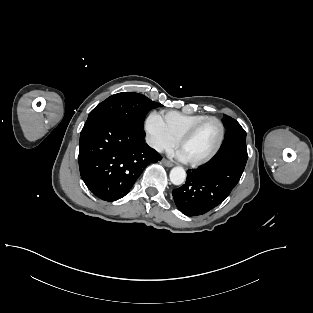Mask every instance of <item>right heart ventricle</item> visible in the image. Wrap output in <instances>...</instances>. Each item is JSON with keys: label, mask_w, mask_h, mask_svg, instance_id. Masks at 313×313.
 <instances>
[{"label": "right heart ventricle", "mask_w": 313, "mask_h": 313, "mask_svg": "<svg viewBox=\"0 0 313 313\" xmlns=\"http://www.w3.org/2000/svg\"><path fill=\"white\" fill-rule=\"evenodd\" d=\"M159 116L165 130L175 141L194 124L208 117L206 115H189L177 111L163 112Z\"/></svg>", "instance_id": "obj_1"}]
</instances>
